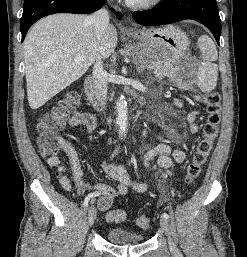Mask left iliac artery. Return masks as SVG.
I'll use <instances>...</instances> for the list:
<instances>
[{"instance_id":"left-iliac-artery-1","label":"left iliac artery","mask_w":247,"mask_h":257,"mask_svg":"<svg viewBox=\"0 0 247 257\" xmlns=\"http://www.w3.org/2000/svg\"><path fill=\"white\" fill-rule=\"evenodd\" d=\"M162 217L165 218V219H169V215L166 214V213H163V214H162Z\"/></svg>"}]
</instances>
